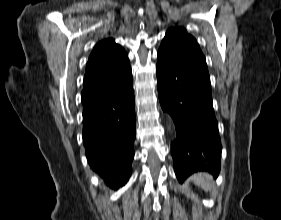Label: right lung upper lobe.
I'll use <instances>...</instances> for the list:
<instances>
[{"instance_id":"obj_1","label":"right lung upper lobe","mask_w":281,"mask_h":220,"mask_svg":"<svg viewBox=\"0 0 281 220\" xmlns=\"http://www.w3.org/2000/svg\"><path fill=\"white\" fill-rule=\"evenodd\" d=\"M132 78L125 50L108 38L98 42L86 66L82 96L117 89Z\"/></svg>"}]
</instances>
